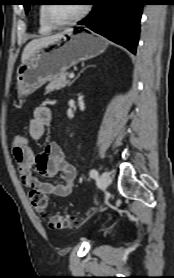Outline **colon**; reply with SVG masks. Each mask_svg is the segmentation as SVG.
<instances>
[{"label": "colon", "instance_id": "obj_1", "mask_svg": "<svg viewBox=\"0 0 174 278\" xmlns=\"http://www.w3.org/2000/svg\"><path fill=\"white\" fill-rule=\"evenodd\" d=\"M29 143V140L22 136L16 135L13 139V145L21 148L26 146ZM29 200L31 205L42 216L47 215L48 199L46 194L38 190H32L29 193ZM75 223V220L72 217L54 215L49 219V227L53 229H65L71 227Z\"/></svg>", "mask_w": 174, "mask_h": 278}]
</instances>
